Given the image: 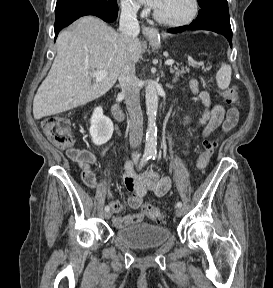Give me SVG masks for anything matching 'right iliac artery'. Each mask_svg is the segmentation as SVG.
I'll return each mask as SVG.
<instances>
[{"mask_svg": "<svg viewBox=\"0 0 273 288\" xmlns=\"http://www.w3.org/2000/svg\"><path fill=\"white\" fill-rule=\"evenodd\" d=\"M150 158H151L150 154H144L142 159H141V166H143ZM109 210H110V207L105 206V211H109Z\"/></svg>", "mask_w": 273, "mask_h": 288, "instance_id": "obj_1", "label": "right iliac artery"}]
</instances>
